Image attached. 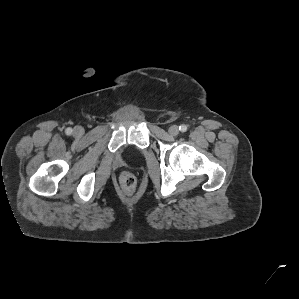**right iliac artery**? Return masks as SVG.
Wrapping results in <instances>:
<instances>
[{"label": "right iliac artery", "mask_w": 299, "mask_h": 299, "mask_svg": "<svg viewBox=\"0 0 299 299\" xmlns=\"http://www.w3.org/2000/svg\"><path fill=\"white\" fill-rule=\"evenodd\" d=\"M72 131H73V130H72L71 128H67V129H66V134H67V135H71V134H72Z\"/></svg>", "instance_id": "1"}]
</instances>
